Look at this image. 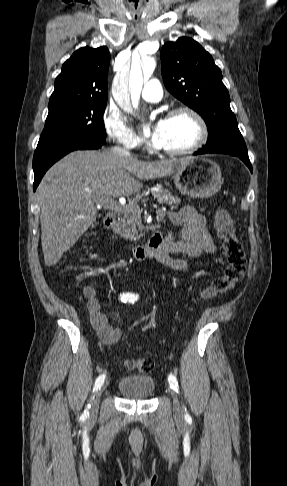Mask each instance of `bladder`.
<instances>
[{
  "mask_svg": "<svg viewBox=\"0 0 287 486\" xmlns=\"http://www.w3.org/2000/svg\"><path fill=\"white\" fill-rule=\"evenodd\" d=\"M119 392L132 399L150 398L155 390V382L148 375H126L118 382Z\"/></svg>",
  "mask_w": 287,
  "mask_h": 486,
  "instance_id": "obj_1",
  "label": "bladder"
}]
</instances>
